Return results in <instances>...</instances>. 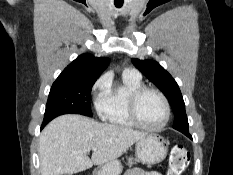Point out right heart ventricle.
I'll use <instances>...</instances> for the list:
<instances>
[{
    "instance_id": "obj_1",
    "label": "right heart ventricle",
    "mask_w": 233,
    "mask_h": 175,
    "mask_svg": "<svg viewBox=\"0 0 233 175\" xmlns=\"http://www.w3.org/2000/svg\"><path fill=\"white\" fill-rule=\"evenodd\" d=\"M143 86L141 77L124 73L119 85L112 86L108 81L107 87L100 93L96 101L98 116L108 124L122 128L132 129L136 125L128 113V99L131 92Z\"/></svg>"
}]
</instances>
